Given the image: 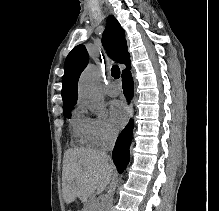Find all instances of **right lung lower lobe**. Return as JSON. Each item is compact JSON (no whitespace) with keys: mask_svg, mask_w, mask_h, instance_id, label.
Listing matches in <instances>:
<instances>
[{"mask_svg":"<svg viewBox=\"0 0 219 211\" xmlns=\"http://www.w3.org/2000/svg\"><path fill=\"white\" fill-rule=\"evenodd\" d=\"M127 69L122 71V82L124 94L127 98L133 96V79L130 72V64L126 65ZM133 121L125 127V129L119 135L113 153L112 158L119 173H123L130 159L129 147L132 140Z\"/></svg>","mask_w":219,"mask_h":211,"instance_id":"98d812e1","label":"right lung lower lobe"}]
</instances>
